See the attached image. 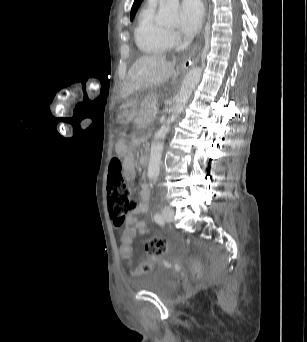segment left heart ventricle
Masks as SVG:
<instances>
[{"mask_svg":"<svg viewBox=\"0 0 307 342\" xmlns=\"http://www.w3.org/2000/svg\"><path fill=\"white\" fill-rule=\"evenodd\" d=\"M162 31L167 35H173L174 27H165L162 29Z\"/></svg>","mask_w":307,"mask_h":342,"instance_id":"obj_1","label":"left heart ventricle"}]
</instances>
